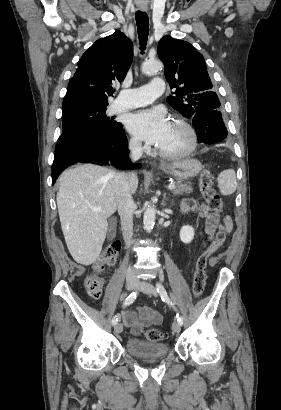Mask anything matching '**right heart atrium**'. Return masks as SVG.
Returning <instances> with one entry per match:
<instances>
[{"label": "right heart atrium", "mask_w": 281, "mask_h": 410, "mask_svg": "<svg viewBox=\"0 0 281 410\" xmlns=\"http://www.w3.org/2000/svg\"><path fill=\"white\" fill-rule=\"evenodd\" d=\"M129 147L131 150L136 151V152H140L145 149L142 142L137 137H132L129 140Z\"/></svg>", "instance_id": "right-heart-atrium-1"}]
</instances>
